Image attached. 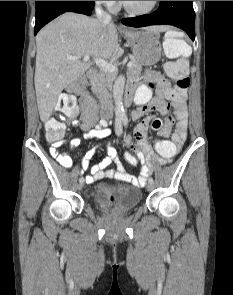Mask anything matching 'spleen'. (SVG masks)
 I'll use <instances>...</instances> for the list:
<instances>
[{"instance_id":"spleen-1","label":"spleen","mask_w":233,"mask_h":295,"mask_svg":"<svg viewBox=\"0 0 233 295\" xmlns=\"http://www.w3.org/2000/svg\"><path fill=\"white\" fill-rule=\"evenodd\" d=\"M163 49L166 56L170 58L178 57L181 55L183 57H188L192 52L191 47L186 42L174 38L172 33H167L166 38L163 42Z\"/></svg>"}]
</instances>
